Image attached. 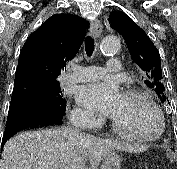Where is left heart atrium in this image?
I'll list each match as a JSON object with an SVG mask.
<instances>
[{"instance_id": "1", "label": "left heart atrium", "mask_w": 177, "mask_h": 169, "mask_svg": "<svg viewBox=\"0 0 177 169\" xmlns=\"http://www.w3.org/2000/svg\"><path fill=\"white\" fill-rule=\"evenodd\" d=\"M121 92L118 85L112 81H98L83 85L77 89V102L92 112L102 115H112L117 107Z\"/></svg>"}]
</instances>
